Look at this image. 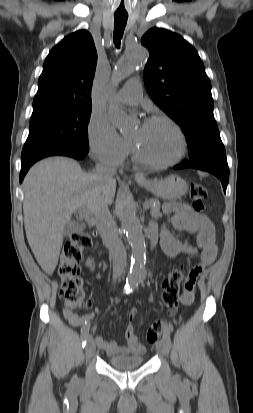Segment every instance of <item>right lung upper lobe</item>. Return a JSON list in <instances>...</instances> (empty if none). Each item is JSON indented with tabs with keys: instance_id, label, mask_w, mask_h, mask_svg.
I'll return each instance as SVG.
<instances>
[{
	"instance_id": "cb5924a9",
	"label": "right lung upper lobe",
	"mask_w": 253,
	"mask_h": 413,
	"mask_svg": "<svg viewBox=\"0 0 253 413\" xmlns=\"http://www.w3.org/2000/svg\"><path fill=\"white\" fill-rule=\"evenodd\" d=\"M97 63L91 34L66 36L45 59L33 101V112L50 108L89 107Z\"/></svg>"
}]
</instances>
